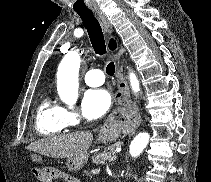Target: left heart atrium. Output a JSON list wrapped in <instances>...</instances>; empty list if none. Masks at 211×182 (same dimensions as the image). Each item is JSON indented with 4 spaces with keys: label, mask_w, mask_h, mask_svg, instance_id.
<instances>
[{
    "label": "left heart atrium",
    "mask_w": 211,
    "mask_h": 182,
    "mask_svg": "<svg viewBox=\"0 0 211 182\" xmlns=\"http://www.w3.org/2000/svg\"><path fill=\"white\" fill-rule=\"evenodd\" d=\"M111 95L104 89L88 90L82 100V110L86 118L96 120L104 116L110 109Z\"/></svg>",
    "instance_id": "39dd6f15"
}]
</instances>
